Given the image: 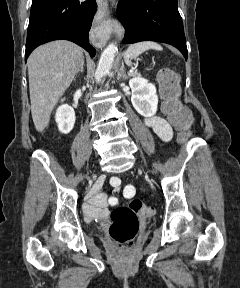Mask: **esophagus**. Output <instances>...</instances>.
Segmentation results:
<instances>
[{"instance_id": "obj_1", "label": "esophagus", "mask_w": 240, "mask_h": 288, "mask_svg": "<svg viewBox=\"0 0 240 288\" xmlns=\"http://www.w3.org/2000/svg\"><path fill=\"white\" fill-rule=\"evenodd\" d=\"M97 5L98 10L96 14V21L99 25L101 42L105 44L109 39L112 30V24L109 19L108 3L106 0H97Z\"/></svg>"}]
</instances>
